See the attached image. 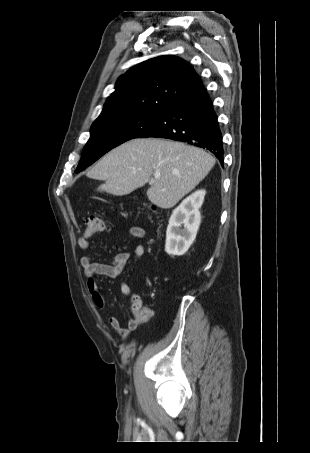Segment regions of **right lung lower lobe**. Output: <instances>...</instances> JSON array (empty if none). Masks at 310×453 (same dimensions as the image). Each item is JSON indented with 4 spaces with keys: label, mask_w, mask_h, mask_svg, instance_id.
<instances>
[{
    "label": "right lung lower lobe",
    "mask_w": 310,
    "mask_h": 453,
    "mask_svg": "<svg viewBox=\"0 0 310 453\" xmlns=\"http://www.w3.org/2000/svg\"><path fill=\"white\" fill-rule=\"evenodd\" d=\"M167 138L205 148L223 163V142L213 103L203 84L168 106L137 138Z\"/></svg>",
    "instance_id": "98d812e1"
}]
</instances>
